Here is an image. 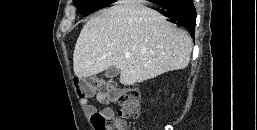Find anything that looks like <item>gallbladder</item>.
<instances>
[{"mask_svg": "<svg viewBox=\"0 0 257 130\" xmlns=\"http://www.w3.org/2000/svg\"><path fill=\"white\" fill-rule=\"evenodd\" d=\"M119 69L116 68L115 66H111L110 68H108L106 71H105V77L106 78H113V77H116L118 74H119Z\"/></svg>", "mask_w": 257, "mask_h": 130, "instance_id": "1", "label": "gallbladder"}]
</instances>
